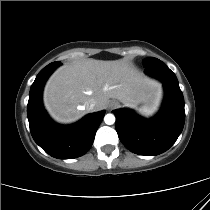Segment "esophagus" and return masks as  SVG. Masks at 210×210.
Masks as SVG:
<instances>
[{
    "mask_svg": "<svg viewBox=\"0 0 210 210\" xmlns=\"http://www.w3.org/2000/svg\"><path fill=\"white\" fill-rule=\"evenodd\" d=\"M116 106V104L115 103H113L112 105H111V107H115Z\"/></svg>",
    "mask_w": 210,
    "mask_h": 210,
    "instance_id": "esophagus-1",
    "label": "esophagus"
}]
</instances>
